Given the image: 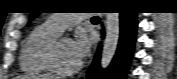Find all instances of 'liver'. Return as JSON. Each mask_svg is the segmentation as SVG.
I'll return each instance as SVG.
<instances>
[{"instance_id": "1", "label": "liver", "mask_w": 177, "mask_h": 79, "mask_svg": "<svg viewBox=\"0 0 177 79\" xmlns=\"http://www.w3.org/2000/svg\"><path fill=\"white\" fill-rule=\"evenodd\" d=\"M27 78L28 79H55L54 76H32V77H27Z\"/></svg>"}]
</instances>
